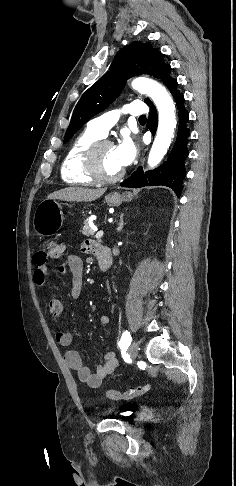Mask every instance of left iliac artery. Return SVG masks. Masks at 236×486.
Here are the masks:
<instances>
[{
	"mask_svg": "<svg viewBox=\"0 0 236 486\" xmlns=\"http://www.w3.org/2000/svg\"><path fill=\"white\" fill-rule=\"evenodd\" d=\"M132 337L130 335L129 331H124L121 337V340L119 341V346L120 348L128 347L131 344Z\"/></svg>",
	"mask_w": 236,
	"mask_h": 486,
	"instance_id": "44dca946",
	"label": "left iliac artery"
}]
</instances>
